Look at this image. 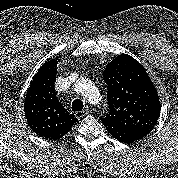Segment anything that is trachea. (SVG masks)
<instances>
[{
    "label": "trachea",
    "mask_w": 178,
    "mask_h": 178,
    "mask_svg": "<svg viewBox=\"0 0 178 178\" xmlns=\"http://www.w3.org/2000/svg\"><path fill=\"white\" fill-rule=\"evenodd\" d=\"M84 105H83V101L80 99H76L72 102V111L76 112V111H82Z\"/></svg>",
    "instance_id": "1"
}]
</instances>
